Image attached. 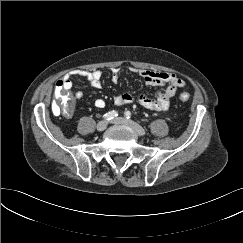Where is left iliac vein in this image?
I'll list each match as a JSON object with an SVG mask.
<instances>
[{"instance_id": "left-iliac-vein-1", "label": "left iliac vein", "mask_w": 243, "mask_h": 243, "mask_svg": "<svg viewBox=\"0 0 243 243\" xmlns=\"http://www.w3.org/2000/svg\"><path fill=\"white\" fill-rule=\"evenodd\" d=\"M113 123L127 125L139 136H144L146 134L145 130L132 120H128L126 118H116L113 120Z\"/></svg>"}]
</instances>
